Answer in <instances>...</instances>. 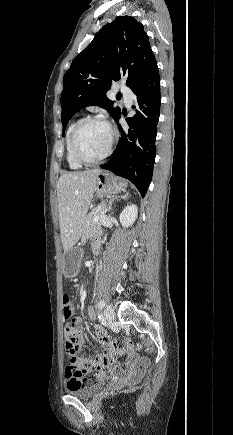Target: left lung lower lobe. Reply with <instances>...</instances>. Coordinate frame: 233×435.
Masks as SVG:
<instances>
[{
  "label": "left lung lower lobe",
  "instance_id": "0a47b994",
  "mask_svg": "<svg viewBox=\"0 0 233 435\" xmlns=\"http://www.w3.org/2000/svg\"><path fill=\"white\" fill-rule=\"evenodd\" d=\"M136 95V114L128 118L129 128L119 125L120 115L115 119L121 139L112 154V158L102 169L129 179L145 196L152 179L155 162L156 127L160 114V77L155 64L145 77L132 90Z\"/></svg>",
  "mask_w": 233,
  "mask_h": 435
}]
</instances>
